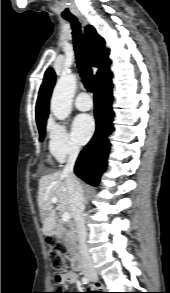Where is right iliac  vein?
<instances>
[{"instance_id": "obj_1", "label": "right iliac vein", "mask_w": 170, "mask_h": 293, "mask_svg": "<svg viewBox=\"0 0 170 293\" xmlns=\"http://www.w3.org/2000/svg\"><path fill=\"white\" fill-rule=\"evenodd\" d=\"M96 272H90V273H88L87 274V276L89 277V278H93L94 276H96Z\"/></svg>"}]
</instances>
